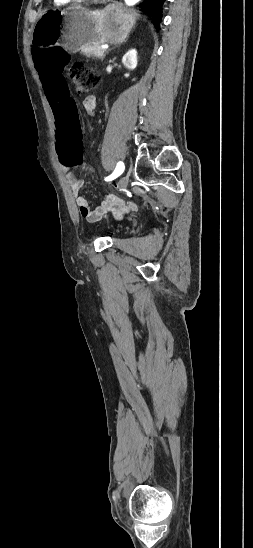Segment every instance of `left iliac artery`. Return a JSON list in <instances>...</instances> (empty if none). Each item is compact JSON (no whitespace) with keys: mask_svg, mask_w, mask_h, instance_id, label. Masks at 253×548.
<instances>
[{"mask_svg":"<svg viewBox=\"0 0 253 548\" xmlns=\"http://www.w3.org/2000/svg\"><path fill=\"white\" fill-rule=\"evenodd\" d=\"M123 171H124V164H123V162L120 161V162L117 163V166H116L114 172L111 175H109L108 177H106L105 181H111V180L115 179L120 174H122Z\"/></svg>","mask_w":253,"mask_h":548,"instance_id":"44dca946","label":"left iliac artery"}]
</instances>
